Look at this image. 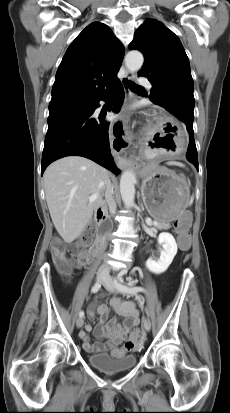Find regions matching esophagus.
Instances as JSON below:
<instances>
[{
    "label": "esophagus",
    "mask_w": 230,
    "mask_h": 413,
    "mask_svg": "<svg viewBox=\"0 0 230 413\" xmlns=\"http://www.w3.org/2000/svg\"><path fill=\"white\" fill-rule=\"evenodd\" d=\"M134 79V74L128 70H126V74L125 77L121 80L122 85L124 87V91H125V96H126V102H129L131 100V93L130 90L128 88V82ZM125 112V109H124ZM127 134V133H126ZM124 146H122L121 148H123ZM117 160V164L119 166V168L124 169L126 168L129 164L130 161L124 157L121 156H117L116 157Z\"/></svg>",
    "instance_id": "34e87169"
}]
</instances>
